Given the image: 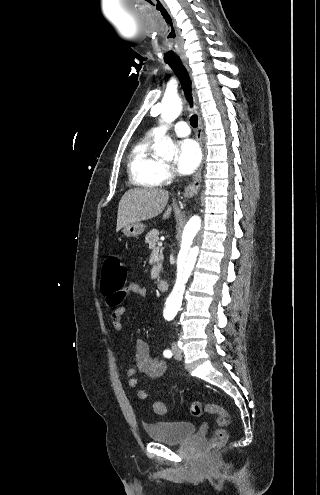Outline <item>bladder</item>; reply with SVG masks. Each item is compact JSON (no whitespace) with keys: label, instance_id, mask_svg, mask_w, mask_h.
<instances>
[{"label":"bladder","instance_id":"bladder-1","mask_svg":"<svg viewBox=\"0 0 320 495\" xmlns=\"http://www.w3.org/2000/svg\"><path fill=\"white\" fill-rule=\"evenodd\" d=\"M196 431V425L189 421H159L146 426L148 436L165 444H180Z\"/></svg>","mask_w":320,"mask_h":495}]
</instances>
